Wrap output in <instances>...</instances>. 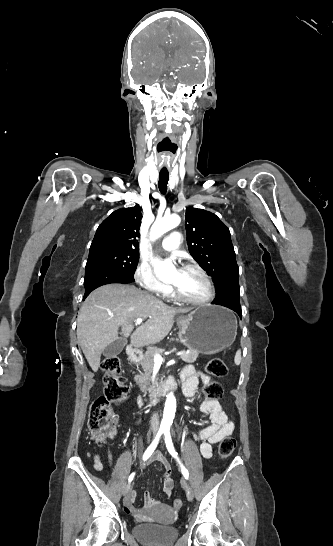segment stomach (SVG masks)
Returning a JSON list of instances; mask_svg holds the SVG:
<instances>
[{
    "label": "stomach",
    "instance_id": "0dacf381",
    "mask_svg": "<svg viewBox=\"0 0 333 546\" xmlns=\"http://www.w3.org/2000/svg\"><path fill=\"white\" fill-rule=\"evenodd\" d=\"M179 339L191 351L213 355L231 346L237 334L233 313L221 306H204L178 320Z\"/></svg>",
    "mask_w": 333,
    "mask_h": 546
}]
</instances>
